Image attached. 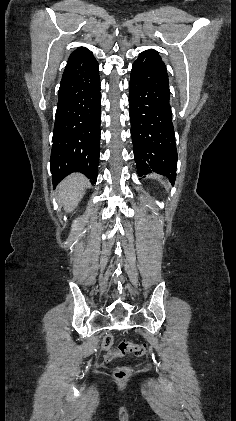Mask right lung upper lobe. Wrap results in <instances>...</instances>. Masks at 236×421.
Returning <instances> with one entry per match:
<instances>
[{"label":"right lung upper lobe","instance_id":"cb5924a9","mask_svg":"<svg viewBox=\"0 0 236 421\" xmlns=\"http://www.w3.org/2000/svg\"><path fill=\"white\" fill-rule=\"evenodd\" d=\"M91 54L92 53L87 48L79 47L74 52L71 53V55L68 59V62H70L72 60H75V59H78V58H81V57H84V56L91 55Z\"/></svg>","mask_w":236,"mask_h":421}]
</instances>
